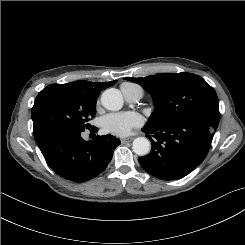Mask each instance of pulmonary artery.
Returning <instances> with one entry per match:
<instances>
[{
	"mask_svg": "<svg viewBox=\"0 0 245 245\" xmlns=\"http://www.w3.org/2000/svg\"><path fill=\"white\" fill-rule=\"evenodd\" d=\"M125 96V99L129 102H137L139 101L143 96V91L140 87L132 88L125 93H123Z\"/></svg>",
	"mask_w": 245,
	"mask_h": 245,
	"instance_id": "e3ab8cb5",
	"label": "pulmonary artery"
}]
</instances>
